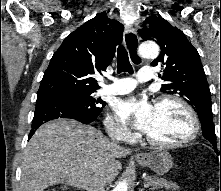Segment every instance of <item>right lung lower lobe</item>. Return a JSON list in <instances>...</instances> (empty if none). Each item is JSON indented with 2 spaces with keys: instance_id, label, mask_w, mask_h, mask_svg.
<instances>
[{
  "instance_id": "98d812e1",
  "label": "right lung lower lobe",
  "mask_w": 221,
  "mask_h": 191,
  "mask_svg": "<svg viewBox=\"0 0 221 191\" xmlns=\"http://www.w3.org/2000/svg\"><path fill=\"white\" fill-rule=\"evenodd\" d=\"M57 118H70L83 124H89L93 122L97 116L92 117L79 113L75 106L60 96H38L29 139L39 126Z\"/></svg>"
}]
</instances>
